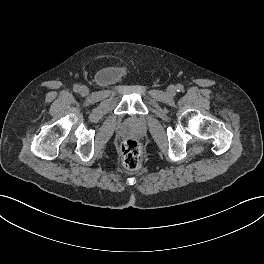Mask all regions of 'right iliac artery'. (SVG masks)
Wrapping results in <instances>:
<instances>
[{"label":"right iliac artery","instance_id":"right-iliac-artery-1","mask_svg":"<svg viewBox=\"0 0 264 264\" xmlns=\"http://www.w3.org/2000/svg\"><path fill=\"white\" fill-rule=\"evenodd\" d=\"M73 90L75 92H79L80 91V86L78 84H75L74 87H73Z\"/></svg>","mask_w":264,"mask_h":264}]
</instances>
